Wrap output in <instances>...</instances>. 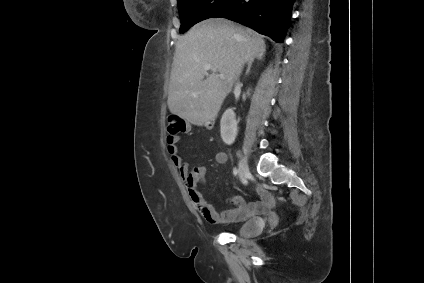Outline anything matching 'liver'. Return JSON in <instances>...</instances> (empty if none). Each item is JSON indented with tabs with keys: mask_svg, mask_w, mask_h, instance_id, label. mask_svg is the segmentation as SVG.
<instances>
[{
	"mask_svg": "<svg viewBox=\"0 0 424 283\" xmlns=\"http://www.w3.org/2000/svg\"><path fill=\"white\" fill-rule=\"evenodd\" d=\"M265 47L257 32L227 19L194 25L176 44L167 101L170 112L197 126L210 123L242 65L264 53ZM206 64L216 71L209 74Z\"/></svg>",
	"mask_w": 424,
	"mask_h": 283,
	"instance_id": "6515ba94",
	"label": "liver"
}]
</instances>
